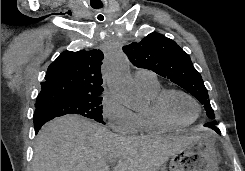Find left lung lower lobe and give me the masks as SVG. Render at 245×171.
I'll use <instances>...</instances> for the list:
<instances>
[{
    "label": "left lung lower lobe",
    "mask_w": 245,
    "mask_h": 171,
    "mask_svg": "<svg viewBox=\"0 0 245 171\" xmlns=\"http://www.w3.org/2000/svg\"><path fill=\"white\" fill-rule=\"evenodd\" d=\"M204 126L209 127L211 129H213L215 132H217L218 134H220V130L215 126V124L206 123V124H204Z\"/></svg>",
    "instance_id": "1"
}]
</instances>
